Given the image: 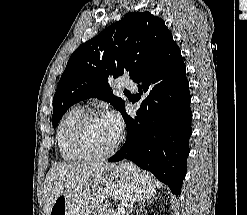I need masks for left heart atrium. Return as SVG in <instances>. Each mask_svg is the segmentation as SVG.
Listing matches in <instances>:
<instances>
[{"label": "left heart atrium", "instance_id": "obj_1", "mask_svg": "<svg viewBox=\"0 0 247 215\" xmlns=\"http://www.w3.org/2000/svg\"><path fill=\"white\" fill-rule=\"evenodd\" d=\"M103 119L113 131V133L118 137L123 129V122L120 116L116 113L111 112L106 114Z\"/></svg>", "mask_w": 247, "mask_h": 215}]
</instances>
